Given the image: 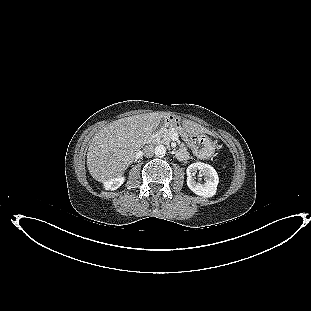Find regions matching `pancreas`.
<instances>
[{
	"label": "pancreas",
	"mask_w": 311,
	"mask_h": 311,
	"mask_svg": "<svg viewBox=\"0 0 311 311\" xmlns=\"http://www.w3.org/2000/svg\"><path fill=\"white\" fill-rule=\"evenodd\" d=\"M174 133H177V130L174 129V128H162L160 129L159 131H157L155 133L156 135V138L160 139V142L161 143H165V144H168L171 142V136L174 134ZM181 146L183 147L184 144H181Z\"/></svg>",
	"instance_id": "cf45deb5"
}]
</instances>
